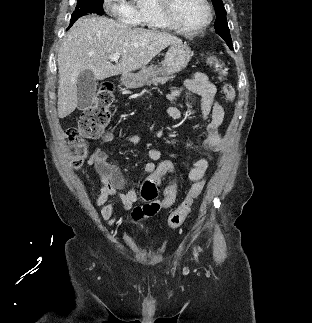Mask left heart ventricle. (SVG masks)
Here are the masks:
<instances>
[{"label":"left heart ventricle","mask_w":312,"mask_h":323,"mask_svg":"<svg viewBox=\"0 0 312 323\" xmlns=\"http://www.w3.org/2000/svg\"><path fill=\"white\" fill-rule=\"evenodd\" d=\"M169 14L181 22H194L195 18H206L209 7H204L202 0H171Z\"/></svg>","instance_id":"b2bd125f"}]
</instances>
